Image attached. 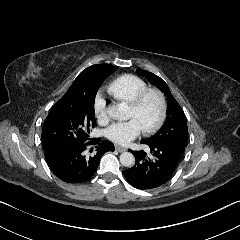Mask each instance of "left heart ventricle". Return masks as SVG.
<instances>
[{"instance_id": "b2bd125f", "label": "left heart ventricle", "mask_w": 240, "mask_h": 240, "mask_svg": "<svg viewBox=\"0 0 240 240\" xmlns=\"http://www.w3.org/2000/svg\"><path fill=\"white\" fill-rule=\"evenodd\" d=\"M159 116V103L154 95H148L137 110L127 109L126 119H134L141 129L154 125Z\"/></svg>"}]
</instances>
